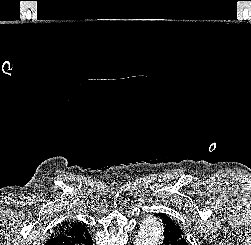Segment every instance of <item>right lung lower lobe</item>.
<instances>
[{"label":"right lung lower lobe","instance_id":"1","mask_svg":"<svg viewBox=\"0 0 251 245\" xmlns=\"http://www.w3.org/2000/svg\"><path fill=\"white\" fill-rule=\"evenodd\" d=\"M45 245H93L88 230L68 231L62 234L51 235Z\"/></svg>","mask_w":251,"mask_h":245}]
</instances>
